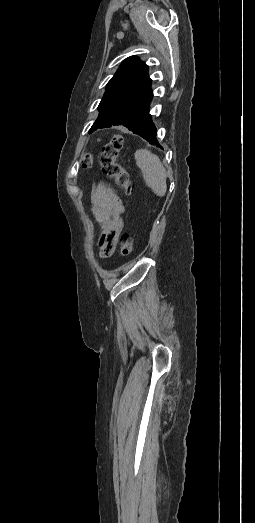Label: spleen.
<instances>
[{"instance_id":"obj_1","label":"spleen","mask_w":255,"mask_h":523,"mask_svg":"<svg viewBox=\"0 0 255 523\" xmlns=\"http://www.w3.org/2000/svg\"><path fill=\"white\" fill-rule=\"evenodd\" d=\"M136 164L142 170L144 182L156 196H165L167 192L165 168L158 156L149 150H137L134 154Z\"/></svg>"}]
</instances>
